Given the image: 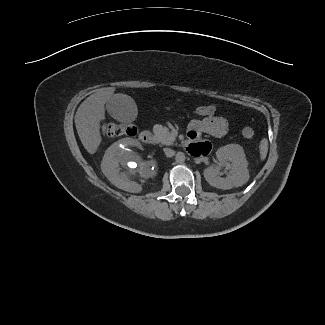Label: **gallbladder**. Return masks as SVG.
Wrapping results in <instances>:
<instances>
[{
	"mask_svg": "<svg viewBox=\"0 0 325 325\" xmlns=\"http://www.w3.org/2000/svg\"><path fill=\"white\" fill-rule=\"evenodd\" d=\"M107 111L119 122H132L137 117V107L128 97H114L107 103Z\"/></svg>",
	"mask_w": 325,
	"mask_h": 325,
	"instance_id": "gallbladder-1",
	"label": "gallbladder"
}]
</instances>
